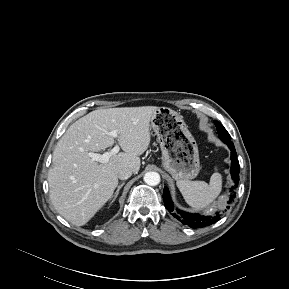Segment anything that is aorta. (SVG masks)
I'll use <instances>...</instances> for the list:
<instances>
[{
  "instance_id": "aorta-1",
  "label": "aorta",
  "mask_w": 289,
  "mask_h": 289,
  "mask_svg": "<svg viewBox=\"0 0 289 289\" xmlns=\"http://www.w3.org/2000/svg\"><path fill=\"white\" fill-rule=\"evenodd\" d=\"M144 182L150 186H156L160 183V175L157 172H147L144 175Z\"/></svg>"
}]
</instances>
